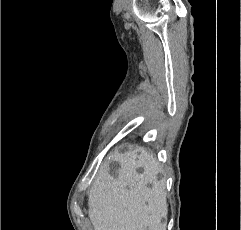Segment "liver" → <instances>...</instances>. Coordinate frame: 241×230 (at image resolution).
I'll return each mask as SVG.
<instances>
[{
	"instance_id": "6515ba94",
	"label": "liver",
	"mask_w": 241,
	"mask_h": 230,
	"mask_svg": "<svg viewBox=\"0 0 241 230\" xmlns=\"http://www.w3.org/2000/svg\"><path fill=\"white\" fill-rule=\"evenodd\" d=\"M110 157L120 164L118 176L104 174L89 193L88 215L94 230H166V191L157 180L161 166L155 156L136 148ZM138 168L143 172L138 173Z\"/></svg>"
}]
</instances>
